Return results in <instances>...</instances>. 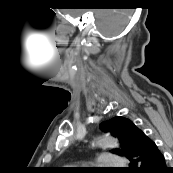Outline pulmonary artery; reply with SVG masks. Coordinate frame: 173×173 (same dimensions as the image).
Returning <instances> with one entry per match:
<instances>
[{
	"instance_id": "pulmonary-artery-1",
	"label": "pulmonary artery",
	"mask_w": 173,
	"mask_h": 173,
	"mask_svg": "<svg viewBox=\"0 0 173 173\" xmlns=\"http://www.w3.org/2000/svg\"><path fill=\"white\" fill-rule=\"evenodd\" d=\"M97 164L105 168H117L122 166L124 164V161L122 158L118 156L107 153V154L101 155L97 159Z\"/></svg>"
}]
</instances>
